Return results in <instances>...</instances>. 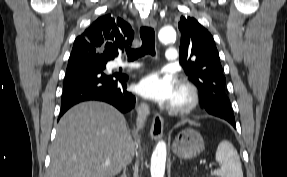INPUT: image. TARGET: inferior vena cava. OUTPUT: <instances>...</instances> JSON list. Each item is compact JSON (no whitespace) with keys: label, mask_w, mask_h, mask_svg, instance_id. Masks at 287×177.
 Listing matches in <instances>:
<instances>
[{"label":"inferior vena cava","mask_w":287,"mask_h":177,"mask_svg":"<svg viewBox=\"0 0 287 177\" xmlns=\"http://www.w3.org/2000/svg\"><path fill=\"white\" fill-rule=\"evenodd\" d=\"M148 115H149V106L145 103L140 104V106L137 108V128L138 129L143 128Z\"/></svg>","instance_id":"inferior-vena-cava-1"}]
</instances>
